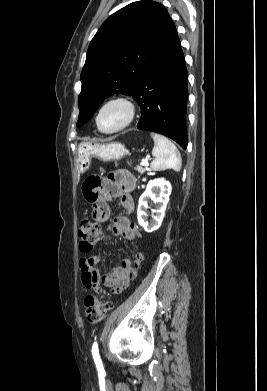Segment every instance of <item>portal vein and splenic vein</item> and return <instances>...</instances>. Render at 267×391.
Here are the masks:
<instances>
[{
	"label": "portal vein and splenic vein",
	"mask_w": 267,
	"mask_h": 391,
	"mask_svg": "<svg viewBox=\"0 0 267 391\" xmlns=\"http://www.w3.org/2000/svg\"><path fill=\"white\" fill-rule=\"evenodd\" d=\"M148 160H150V159L142 160V162H141L140 164H141L142 166H148V165H149Z\"/></svg>",
	"instance_id": "obj_1"
}]
</instances>
